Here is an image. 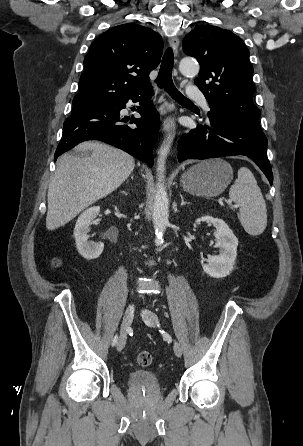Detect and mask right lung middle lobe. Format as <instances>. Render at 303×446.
<instances>
[{"instance_id":"obj_1","label":"right lung middle lobe","mask_w":303,"mask_h":446,"mask_svg":"<svg viewBox=\"0 0 303 446\" xmlns=\"http://www.w3.org/2000/svg\"><path fill=\"white\" fill-rule=\"evenodd\" d=\"M91 108H93V107H90V102H87L85 100L78 99V98H75L73 100L72 113L83 111V110H87V109H91Z\"/></svg>"}]
</instances>
